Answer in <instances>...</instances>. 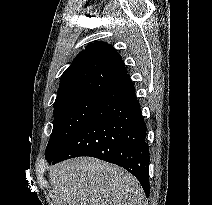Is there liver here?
I'll use <instances>...</instances> for the list:
<instances>
[{
  "mask_svg": "<svg viewBox=\"0 0 212 205\" xmlns=\"http://www.w3.org/2000/svg\"><path fill=\"white\" fill-rule=\"evenodd\" d=\"M55 205H141L144 193L126 170L91 157L50 168Z\"/></svg>",
  "mask_w": 212,
  "mask_h": 205,
  "instance_id": "6515ba94",
  "label": "liver"
}]
</instances>
